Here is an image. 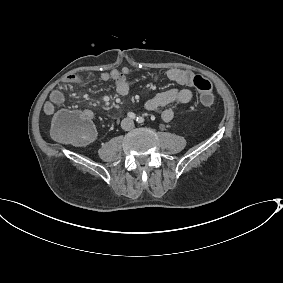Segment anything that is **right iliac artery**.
<instances>
[{
    "label": "right iliac artery",
    "instance_id": "82829eb1",
    "mask_svg": "<svg viewBox=\"0 0 283 283\" xmlns=\"http://www.w3.org/2000/svg\"><path fill=\"white\" fill-rule=\"evenodd\" d=\"M127 116H128L130 119H135V118H136V115H135L133 112H128V113H127Z\"/></svg>",
    "mask_w": 283,
    "mask_h": 283
}]
</instances>
